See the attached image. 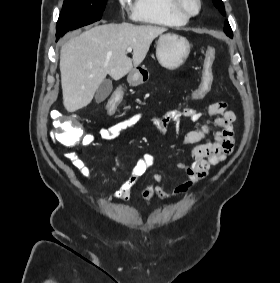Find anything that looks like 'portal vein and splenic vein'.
Segmentation results:
<instances>
[{
	"label": "portal vein and splenic vein",
	"mask_w": 280,
	"mask_h": 283,
	"mask_svg": "<svg viewBox=\"0 0 280 283\" xmlns=\"http://www.w3.org/2000/svg\"><path fill=\"white\" fill-rule=\"evenodd\" d=\"M127 51H128V52L132 51V48H131V47H128V48H127Z\"/></svg>",
	"instance_id": "portal-vein-and-splenic-vein-1"
}]
</instances>
